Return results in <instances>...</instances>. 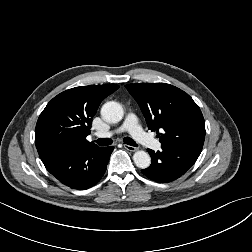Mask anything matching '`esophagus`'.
<instances>
[{"label":"esophagus","instance_id":"1","mask_svg":"<svg viewBox=\"0 0 252 252\" xmlns=\"http://www.w3.org/2000/svg\"><path fill=\"white\" fill-rule=\"evenodd\" d=\"M124 148L128 151H131V152H135L138 150L137 147H134V146H130V145H127V144H124Z\"/></svg>","mask_w":252,"mask_h":252}]
</instances>
